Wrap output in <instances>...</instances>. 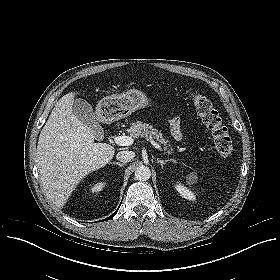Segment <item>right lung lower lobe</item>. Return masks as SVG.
I'll return each instance as SVG.
<instances>
[{
  "label": "right lung lower lobe",
  "instance_id": "98d812e1",
  "mask_svg": "<svg viewBox=\"0 0 280 280\" xmlns=\"http://www.w3.org/2000/svg\"><path fill=\"white\" fill-rule=\"evenodd\" d=\"M117 211H118V210H116L111 216H109V217L107 218V220H109V219H111L112 217H114L115 214L117 213ZM104 220H106V219H104Z\"/></svg>",
  "mask_w": 280,
  "mask_h": 280
}]
</instances>
